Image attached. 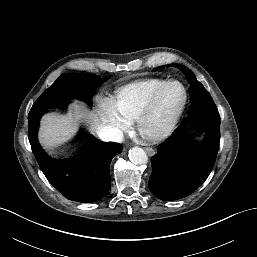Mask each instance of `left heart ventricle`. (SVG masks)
Listing matches in <instances>:
<instances>
[{"instance_id":"left-heart-ventricle-1","label":"left heart ventricle","mask_w":257,"mask_h":257,"mask_svg":"<svg viewBox=\"0 0 257 257\" xmlns=\"http://www.w3.org/2000/svg\"><path fill=\"white\" fill-rule=\"evenodd\" d=\"M183 100V91L178 85L169 86L161 95L156 109L146 121L145 127L150 132L161 129Z\"/></svg>"}]
</instances>
